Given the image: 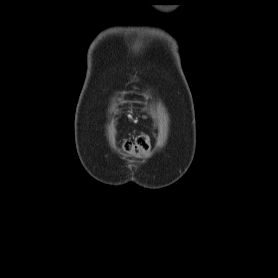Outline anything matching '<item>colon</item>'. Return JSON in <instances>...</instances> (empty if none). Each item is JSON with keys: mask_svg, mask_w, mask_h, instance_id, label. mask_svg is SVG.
<instances>
[{"mask_svg": "<svg viewBox=\"0 0 278 278\" xmlns=\"http://www.w3.org/2000/svg\"><path fill=\"white\" fill-rule=\"evenodd\" d=\"M149 148V139L146 135H139L135 140H127L123 143V149L131 156H143Z\"/></svg>", "mask_w": 278, "mask_h": 278, "instance_id": "5ec220e1", "label": "colon"}]
</instances>
